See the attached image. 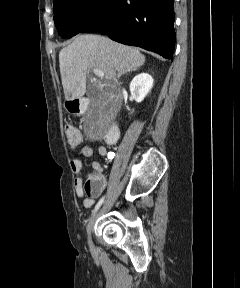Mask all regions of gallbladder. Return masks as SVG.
<instances>
[{
  "mask_svg": "<svg viewBox=\"0 0 240 288\" xmlns=\"http://www.w3.org/2000/svg\"><path fill=\"white\" fill-rule=\"evenodd\" d=\"M90 98L92 100V104H91V107H90L88 114H90L94 111L99 112L101 114L106 113V111L108 109L107 104H104L103 101L99 100L97 95H91Z\"/></svg>",
  "mask_w": 240,
  "mask_h": 288,
  "instance_id": "obj_1",
  "label": "gallbladder"
}]
</instances>
